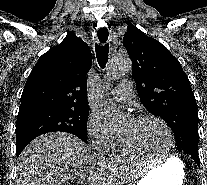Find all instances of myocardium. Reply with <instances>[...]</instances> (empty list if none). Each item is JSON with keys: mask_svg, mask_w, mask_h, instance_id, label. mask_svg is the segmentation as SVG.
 Masks as SVG:
<instances>
[{"mask_svg": "<svg viewBox=\"0 0 207 185\" xmlns=\"http://www.w3.org/2000/svg\"><path fill=\"white\" fill-rule=\"evenodd\" d=\"M135 121H144V120H155L159 122L163 128L165 129V132L168 137V147L167 149L160 154H151L147 153L143 150H140L136 148V146L133 144L131 139L124 133H122V140L123 143L126 147V149L133 155L143 157V158H148V159H163L168 156H170L173 147H174V134L172 132V129L170 128L169 124L161 117L153 114H145V115H140L134 118Z\"/></svg>", "mask_w": 207, "mask_h": 185, "instance_id": "obj_1", "label": "myocardium"}]
</instances>
